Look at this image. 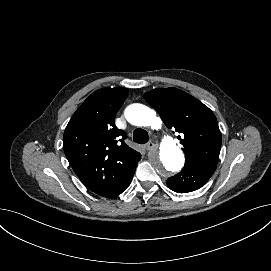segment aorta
<instances>
[{"instance_id":"obj_1","label":"aorta","mask_w":271,"mask_h":271,"mask_svg":"<svg viewBox=\"0 0 271 271\" xmlns=\"http://www.w3.org/2000/svg\"><path fill=\"white\" fill-rule=\"evenodd\" d=\"M125 117L136 126L158 129L162 124L156 112L142 104L129 105L125 110ZM149 158L154 169L165 177L181 170L185 161L182 150L170 139L164 140L159 148L154 149Z\"/></svg>"}]
</instances>
